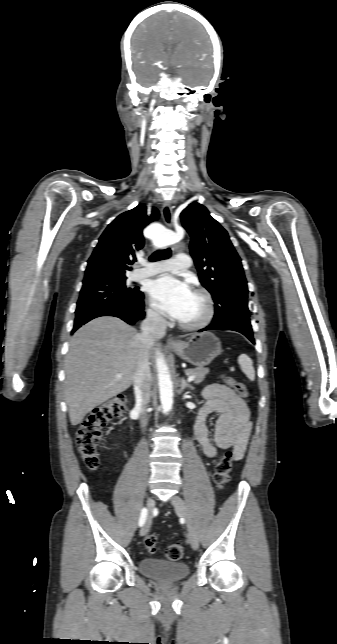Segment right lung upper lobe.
<instances>
[{
    "label": "right lung upper lobe",
    "mask_w": 337,
    "mask_h": 644,
    "mask_svg": "<svg viewBox=\"0 0 337 644\" xmlns=\"http://www.w3.org/2000/svg\"><path fill=\"white\" fill-rule=\"evenodd\" d=\"M147 207H137L120 214L105 229L88 260L83 281L96 278H126L128 265L136 261V253L144 246L142 230L151 221L158 219V210L152 209L147 216Z\"/></svg>",
    "instance_id": "1"
}]
</instances>
